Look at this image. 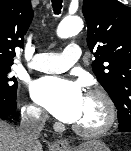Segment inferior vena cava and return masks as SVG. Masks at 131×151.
<instances>
[{
	"label": "inferior vena cava",
	"mask_w": 131,
	"mask_h": 151,
	"mask_svg": "<svg viewBox=\"0 0 131 151\" xmlns=\"http://www.w3.org/2000/svg\"><path fill=\"white\" fill-rule=\"evenodd\" d=\"M46 116L39 109L28 108L22 116L18 133L24 141L33 144L37 141L42 128L45 125Z\"/></svg>",
	"instance_id": "obj_1"
}]
</instances>
